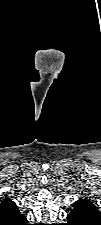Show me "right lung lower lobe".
Segmentation results:
<instances>
[{
    "mask_svg": "<svg viewBox=\"0 0 101 225\" xmlns=\"http://www.w3.org/2000/svg\"><path fill=\"white\" fill-rule=\"evenodd\" d=\"M26 221H27V219L24 217V218L18 223V225H28V224L26 223Z\"/></svg>",
    "mask_w": 101,
    "mask_h": 225,
    "instance_id": "obj_1",
    "label": "right lung lower lobe"
}]
</instances>
